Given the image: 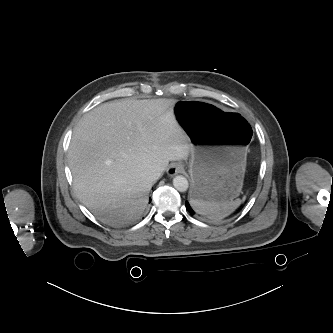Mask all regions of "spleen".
<instances>
[{"mask_svg": "<svg viewBox=\"0 0 333 333\" xmlns=\"http://www.w3.org/2000/svg\"><path fill=\"white\" fill-rule=\"evenodd\" d=\"M242 203L241 199H235L230 202H210L199 199H190L193 209L200 215L206 216L212 220H220L234 212Z\"/></svg>", "mask_w": 333, "mask_h": 333, "instance_id": "obj_1", "label": "spleen"}]
</instances>
